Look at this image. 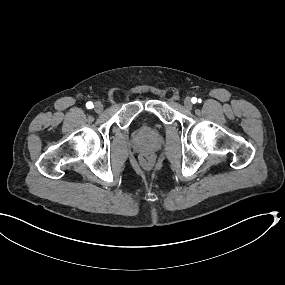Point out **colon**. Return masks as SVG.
<instances>
[{
  "label": "colon",
  "instance_id": "5ec220e1",
  "mask_svg": "<svg viewBox=\"0 0 285 285\" xmlns=\"http://www.w3.org/2000/svg\"><path fill=\"white\" fill-rule=\"evenodd\" d=\"M141 163L144 167L149 168L153 164V157L151 155H144L141 159Z\"/></svg>",
  "mask_w": 285,
  "mask_h": 285
}]
</instances>
